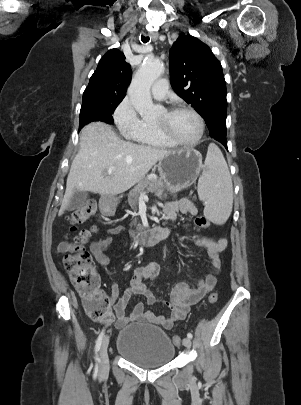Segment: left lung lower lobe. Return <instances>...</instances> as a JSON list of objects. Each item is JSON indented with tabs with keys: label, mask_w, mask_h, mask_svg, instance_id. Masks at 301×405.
Returning <instances> with one entry per match:
<instances>
[{
	"label": "left lung lower lobe",
	"mask_w": 301,
	"mask_h": 405,
	"mask_svg": "<svg viewBox=\"0 0 301 405\" xmlns=\"http://www.w3.org/2000/svg\"><path fill=\"white\" fill-rule=\"evenodd\" d=\"M215 140L219 141L220 143H222L225 146V148H227V140L225 137H216Z\"/></svg>",
	"instance_id": "obj_1"
}]
</instances>
